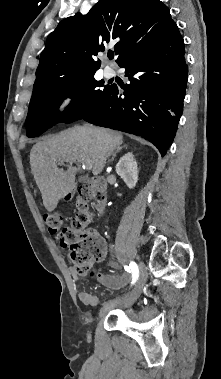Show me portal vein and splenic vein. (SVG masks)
Instances as JSON below:
<instances>
[{
	"instance_id": "obj_1",
	"label": "portal vein and splenic vein",
	"mask_w": 221,
	"mask_h": 379,
	"mask_svg": "<svg viewBox=\"0 0 221 379\" xmlns=\"http://www.w3.org/2000/svg\"><path fill=\"white\" fill-rule=\"evenodd\" d=\"M84 166L87 170H91L92 169V162L88 161V162H85L84 163Z\"/></svg>"
}]
</instances>
